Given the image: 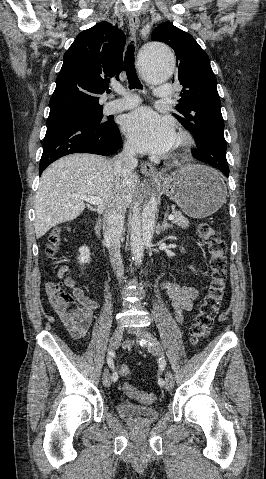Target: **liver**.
<instances>
[{"mask_svg": "<svg viewBox=\"0 0 266 479\" xmlns=\"http://www.w3.org/2000/svg\"><path fill=\"white\" fill-rule=\"evenodd\" d=\"M114 174L113 162L94 154H72L51 164L42 174L35 197V233L44 236L52 227L76 219L85 209L86 195L103 200L97 211L112 201L117 193L123 204L129 206L138 185V176L131 175L119 181Z\"/></svg>", "mask_w": 266, "mask_h": 479, "instance_id": "6515ba94", "label": "liver"}]
</instances>
